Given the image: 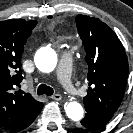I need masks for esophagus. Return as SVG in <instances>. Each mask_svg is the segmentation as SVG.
<instances>
[{"instance_id": "1", "label": "esophagus", "mask_w": 133, "mask_h": 133, "mask_svg": "<svg viewBox=\"0 0 133 133\" xmlns=\"http://www.w3.org/2000/svg\"><path fill=\"white\" fill-rule=\"evenodd\" d=\"M51 98L55 101H60L62 99V96L60 94H55Z\"/></svg>"}]
</instances>
